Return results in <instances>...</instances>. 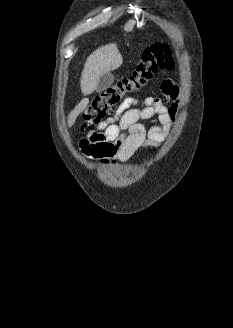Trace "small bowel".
<instances>
[{
    "label": "small bowel",
    "instance_id": "1",
    "mask_svg": "<svg viewBox=\"0 0 233 328\" xmlns=\"http://www.w3.org/2000/svg\"><path fill=\"white\" fill-rule=\"evenodd\" d=\"M178 107L179 88L171 80H165L161 97L126 98L112 119L88 131L79 147L88 156L124 163L138 150L162 142L157 123L173 120ZM146 120L153 123L148 129L142 123Z\"/></svg>",
    "mask_w": 233,
    "mask_h": 328
}]
</instances>
